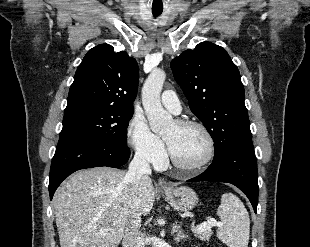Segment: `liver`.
Instances as JSON below:
<instances>
[{
	"mask_svg": "<svg viewBox=\"0 0 310 247\" xmlns=\"http://www.w3.org/2000/svg\"><path fill=\"white\" fill-rule=\"evenodd\" d=\"M126 172L96 167L80 170L53 197L61 247H117L128 226L133 186ZM137 208L146 216L155 201L149 177H142ZM100 230H106L105 235Z\"/></svg>",
	"mask_w": 310,
	"mask_h": 247,
	"instance_id": "1",
	"label": "liver"
}]
</instances>
